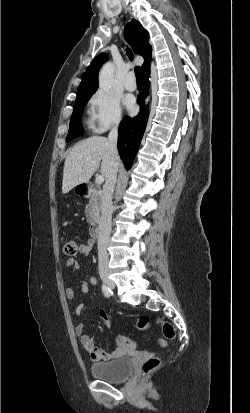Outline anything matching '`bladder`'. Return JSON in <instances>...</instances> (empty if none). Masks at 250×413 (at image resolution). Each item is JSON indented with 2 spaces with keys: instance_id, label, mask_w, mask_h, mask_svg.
<instances>
[{
  "instance_id": "bladder-1",
  "label": "bladder",
  "mask_w": 250,
  "mask_h": 413,
  "mask_svg": "<svg viewBox=\"0 0 250 413\" xmlns=\"http://www.w3.org/2000/svg\"><path fill=\"white\" fill-rule=\"evenodd\" d=\"M134 367V360L129 355H122L106 362L93 363L91 374L98 380L120 382L125 380Z\"/></svg>"
}]
</instances>
